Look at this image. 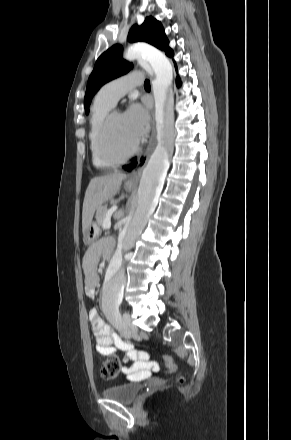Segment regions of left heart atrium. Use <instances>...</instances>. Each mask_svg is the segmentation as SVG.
<instances>
[{
    "mask_svg": "<svg viewBox=\"0 0 291 440\" xmlns=\"http://www.w3.org/2000/svg\"><path fill=\"white\" fill-rule=\"evenodd\" d=\"M131 132L138 141L147 131L149 124V116L145 108L139 103H133L123 114Z\"/></svg>",
    "mask_w": 291,
    "mask_h": 440,
    "instance_id": "left-heart-atrium-1",
    "label": "left heart atrium"
}]
</instances>
